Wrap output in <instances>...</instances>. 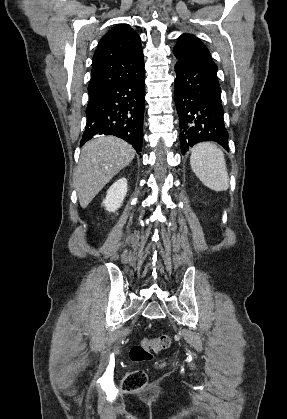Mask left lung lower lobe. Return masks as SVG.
<instances>
[{"label": "left lung lower lobe", "instance_id": "1", "mask_svg": "<svg viewBox=\"0 0 287 419\" xmlns=\"http://www.w3.org/2000/svg\"><path fill=\"white\" fill-rule=\"evenodd\" d=\"M175 72L174 97L182 154L203 141L217 142L228 151L217 66L197 68L177 62Z\"/></svg>", "mask_w": 287, "mask_h": 419}]
</instances>
